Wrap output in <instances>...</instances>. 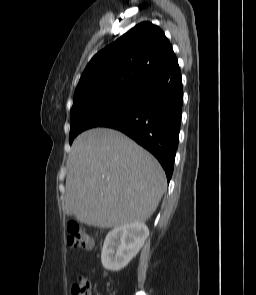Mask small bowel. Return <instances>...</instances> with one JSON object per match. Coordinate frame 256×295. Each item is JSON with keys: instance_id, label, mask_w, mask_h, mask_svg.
I'll list each match as a JSON object with an SVG mask.
<instances>
[{"instance_id": "1", "label": "small bowel", "mask_w": 256, "mask_h": 295, "mask_svg": "<svg viewBox=\"0 0 256 295\" xmlns=\"http://www.w3.org/2000/svg\"><path fill=\"white\" fill-rule=\"evenodd\" d=\"M96 295H101V293L100 292H97Z\"/></svg>"}]
</instances>
